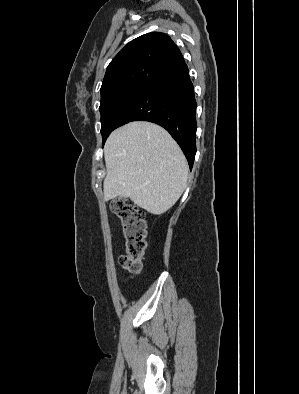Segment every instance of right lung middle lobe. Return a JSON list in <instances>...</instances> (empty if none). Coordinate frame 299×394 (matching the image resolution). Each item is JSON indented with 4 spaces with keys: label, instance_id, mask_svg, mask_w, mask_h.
I'll use <instances>...</instances> for the list:
<instances>
[{
    "label": "right lung middle lobe",
    "instance_id": "right-lung-middle-lobe-1",
    "mask_svg": "<svg viewBox=\"0 0 299 394\" xmlns=\"http://www.w3.org/2000/svg\"><path fill=\"white\" fill-rule=\"evenodd\" d=\"M150 85L143 83H128L111 88L101 93V134L103 144L127 108Z\"/></svg>",
    "mask_w": 299,
    "mask_h": 394
}]
</instances>
